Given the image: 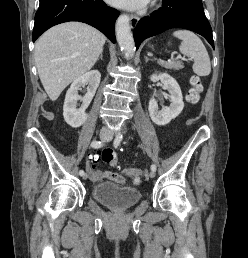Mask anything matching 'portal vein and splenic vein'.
<instances>
[{"mask_svg": "<svg viewBox=\"0 0 248 258\" xmlns=\"http://www.w3.org/2000/svg\"><path fill=\"white\" fill-rule=\"evenodd\" d=\"M176 59H183L182 56H177ZM160 62L166 63L164 60L159 59ZM168 62H171V60H168Z\"/></svg>", "mask_w": 248, "mask_h": 258, "instance_id": "obj_1", "label": "portal vein and splenic vein"}]
</instances>
